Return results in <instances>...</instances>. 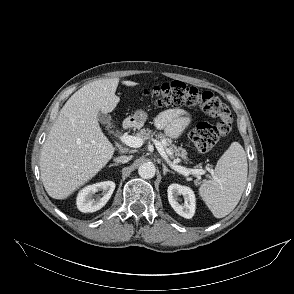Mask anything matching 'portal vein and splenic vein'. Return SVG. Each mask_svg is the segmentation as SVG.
Segmentation results:
<instances>
[{
    "label": "portal vein and splenic vein",
    "mask_w": 294,
    "mask_h": 294,
    "mask_svg": "<svg viewBox=\"0 0 294 294\" xmlns=\"http://www.w3.org/2000/svg\"><path fill=\"white\" fill-rule=\"evenodd\" d=\"M119 139L126 145L133 147V148H139L144 144V140L136 137V136H132V135H128V134H123L121 136H119ZM155 144L156 149L158 150V152L160 153V155L162 156V158L170 165V167L175 170L176 172L182 174L185 177H188L191 174L194 175H202L204 174V170L202 169H189L180 165H177V163L179 162L178 159L171 161L168 158V155L171 154L170 151H168L167 149L164 148V146L162 145L161 142H159L158 140H154L153 141Z\"/></svg>",
    "instance_id": "18ae733b"
}]
</instances>
